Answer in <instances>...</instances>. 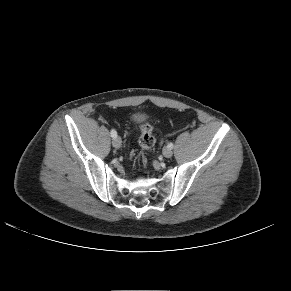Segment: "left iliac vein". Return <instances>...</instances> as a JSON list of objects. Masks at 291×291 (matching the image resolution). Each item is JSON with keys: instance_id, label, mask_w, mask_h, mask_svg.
Segmentation results:
<instances>
[{"instance_id": "left-iliac-vein-1", "label": "left iliac vein", "mask_w": 291, "mask_h": 291, "mask_svg": "<svg viewBox=\"0 0 291 291\" xmlns=\"http://www.w3.org/2000/svg\"><path fill=\"white\" fill-rule=\"evenodd\" d=\"M172 154H173V151H172L171 148L166 147V148L163 149V155H164V157L170 158L172 156Z\"/></svg>"}]
</instances>
